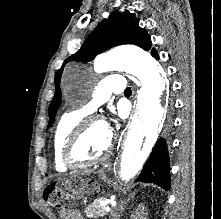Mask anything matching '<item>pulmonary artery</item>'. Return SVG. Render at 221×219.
Wrapping results in <instances>:
<instances>
[{
  "mask_svg": "<svg viewBox=\"0 0 221 219\" xmlns=\"http://www.w3.org/2000/svg\"><path fill=\"white\" fill-rule=\"evenodd\" d=\"M125 91V78L116 74L106 77L96 87L89 102L82 108L86 113L93 112L98 106L104 104L112 94H121Z\"/></svg>",
  "mask_w": 221,
  "mask_h": 219,
  "instance_id": "e3ab8cb5",
  "label": "pulmonary artery"
}]
</instances>
